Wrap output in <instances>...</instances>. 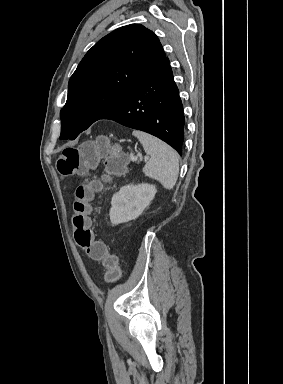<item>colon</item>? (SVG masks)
<instances>
[{
	"mask_svg": "<svg viewBox=\"0 0 283 384\" xmlns=\"http://www.w3.org/2000/svg\"><path fill=\"white\" fill-rule=\"evenodd\" d=\"M101 159L105 163V175L81 184L75 190L72 225L76 244L84 249L91 259L102 262L106 269L105 281L114 283L121 274L118 258L109 251L104 242L94 239L90 218L91 202L104 183L112 176L125 172L127 157L110 147L106 138L98 137L78 146L66 147L57 160V170L62 177L80 175L93 168Z\"/></svg>",
	"mask_w": 283,
	"mask_h": 384,
	"instance_id": "5ec220e1",
	"label": "colon"
}]
</instances>
